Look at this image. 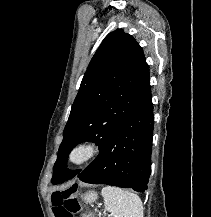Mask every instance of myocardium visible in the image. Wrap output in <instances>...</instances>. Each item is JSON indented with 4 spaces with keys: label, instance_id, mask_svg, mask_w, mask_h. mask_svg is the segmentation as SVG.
<instances>
[{
    "label": "myocardium",
    "instance_id": "myocardium-1",
    "mask_svg": "<svg viewBox=\"0 0 211 217\" xmlns=\"http://www.w3.org/2000/svg\"><path fill=\"white\" fill-rule=\"evenodd\" d=\"M101 147L94 140L77 142L69 151L68 161L71 165L79 167L94 160L100 153ZM79 154V157H76Z\"/></svg>",
    "mask_w": 211,
    "mask_h": 217
}]
</instances>
